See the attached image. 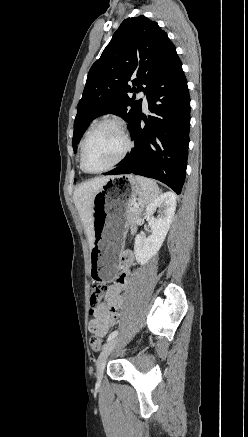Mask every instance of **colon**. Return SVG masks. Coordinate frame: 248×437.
I'll return each instance as SVG.
<instances>
[{
  "label": "colon",
  "instance_id": "obj_1",
  "mask_svg": "<svg viewBox=\"0 0 248 437\" xmlns=\"http://www.w3.org/2000/svg\"><path fill=\"white\" fill-rule=\"evenodd\" d=\"M107 286H97L96 284L92 286L91 288V297H90V303L92 306V311L95 306H97L105 297V294L107 292ZM91 327H95L96 323L95 321L90 322ZM90 346L94 351H99L102 347V338L98 335H93L90 338Z\"/></svg>",
  "mask_w": 248,
  "mask_h": 437
}]
</instances>
